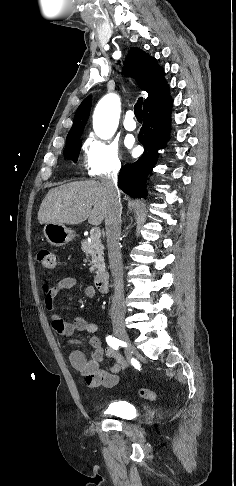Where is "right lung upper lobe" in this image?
Instances as JSON below:
<instances>
[{
	"label": "right lung upper lobe",
	"instance_id": "obj_1",
	"mask_svg": "<svg viewBox=\"0 0 236 486\" xmlns=\"http://www.w3.org/2000/svg\"><path fill=\"white\" fill-rule=\"evenodd\" d=\"M123 72L132 76L140 88L148 93L143 107L169 93V87L164 79V70L158 66L156 59L139 48H132L125 61ZM91 108V96H88L78 107L73 126L67 135V143L80 139L87 123Z\"/></svg>",
	"mask_w": 236,
	"mask_h": 486
}]
</instances>
